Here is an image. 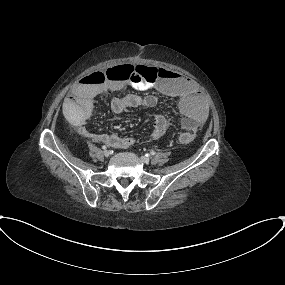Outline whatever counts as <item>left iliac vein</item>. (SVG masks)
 I'll use <instances>...</instances> for the list:
<instances>
[{
	"label": "left iliac vein",
	"mask_w": 285,
	"mask_h": 285,
	"mask_svg": "<svg viewBox=\"0 0 285 285\" xmlns=\"http://www.w3.org/2000/svg\"><path fill=\"white\" fill-rule=\"evenodd\" d=\"M141 161L144 162V163H149L150 159L147 156H141Z\"/></svg>",
	"instance_id": "1"
}]
</instances>
